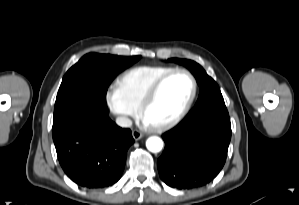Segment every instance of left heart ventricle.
I'll list each match as a JSON object with an SVG mask.
<instances>
[{
    "label": "left heart ventricle",
    "mask_w": 299,
    "mask_h": 205,
    "mask_svg": "<svg viewBox=\"0 0 299 205\" xmlns=\"http://www.w3.org/2000/svg\"><path fill=\"white\" fill-rule=\"evenodd\" d=\"M192 91L188 75L179 73L169 78L145 114L149 124H156L175 116L185 105Z\"/></svg>",
    "instance_id": "left-heart-ventricle-1"
}]
</instances>
